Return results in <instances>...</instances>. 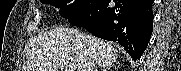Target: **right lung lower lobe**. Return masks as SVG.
Returning <instances> with one entry per match:
<instances>
[{"instance_id": "right-lung-lower-lobe-1", "label": "right lung lower lobe", "mask_w": 181, "mask_h": 71, "mask_svg": "<svg viewBox=\"0 0 181 71\" xmlns=\"http://www.w3.org/2000/svg\"><path fill=\"white\" fill-rule=\"evenodd\" d=\"M98 0L86 12L68 18L94 36L118 41L134 60L140 59L152 34L154 0Z\"/></svg>"}]
</instances>
